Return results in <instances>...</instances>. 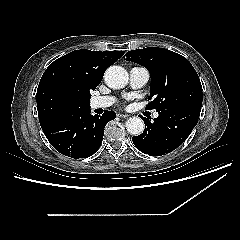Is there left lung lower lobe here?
Masks as SVG:
<instances>
[{"label": "left lung lower lobe", "mask_w": 240, "mask_h": 240, "mask_svg": "<svg viewBox=\"0 0 240 240\" xmlns=\"http://www.w3.org/2000/svg\"><path fill=\"white\" fill-rule=\"evenodd\" d=\"M202 103H188L158 112L151 123L143 118L145 130L132 141L136 148L151 156H161L179 147L196 126Z\"/></svg>", "instance_id": "obj_1"}]
</instances>
